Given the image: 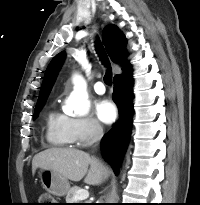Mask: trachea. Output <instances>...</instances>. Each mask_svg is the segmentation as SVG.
I'll list each match as a JSON object with an SVG mask.
<instances>
[{
    "instance_id": "3493384b",
    "label": "trachea",
    "mask_w": 200,
    "mask_h": 205,
    "mask_svg": "<svg viewBox=\"0 0 200 205\" xmlns=\"http://www.w3.org/2000/svg\"><path fill=\"white\" fill-rule=\"evenodd\" d=\"M96 51H97V54H98L100 60L102 61V63L106 67H108V70H107L106 74L104 75V82L107 85H111L112 84V69L110 68V62H109L107 54L104 50V47L99 40L96 43Z\"/></svg>"
}]
</instances>
